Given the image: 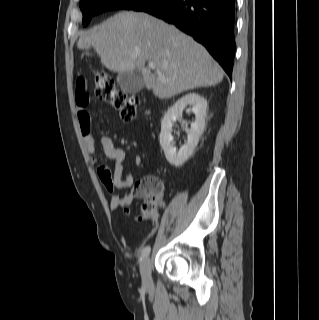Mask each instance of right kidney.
Listing matches in <instances>:
<instances>
[{
	"label": "right kidney",
	"instance_id": "1",
	"mask_svg": "<svg viewBox=\"0 0 319 320\" xmlns=\"http://www.w3.org/2000/svg\"><path fill=\"white\" fill-rule=\"evenodd\" d=\"M187 106H192L195 122L191 124V129L187 130V143L177 151L173 144L172 126L177 119L182 118L183 110ZM206 109L207 101L204 97L196 93H188L178 99L165 113L161 122L159 140L165 157L171 165L182 166L192 155L205 128Z\"/></svg>",
	"mask_w": 319,
	"mask_h": 320
}]
</instances>
